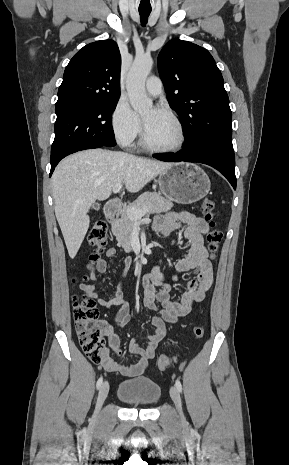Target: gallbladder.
<instances>
[{
    "label": "gallbladder",
    "mask_w": 289,
    "mask_h": 465,
    "mask_svg": "<svg viewBox=\"0 0 289 465\" xmlns=\"http://www.w3.org/2000/svg\"><path fill=\"white\" fill-rule=\"evenodd\" d=\"M92 206H93L94 209H99L100 208V206L98 204H93Z\"/></svg>",
    "instance_id": "gallbladder-1"
}]
</instances>
